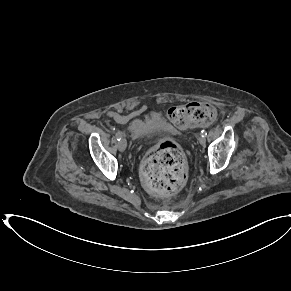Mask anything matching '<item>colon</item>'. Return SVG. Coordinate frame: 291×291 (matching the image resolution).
Here are the masks:
<instances>
[{
  "instance_id": "colon-1",
  "label": "colon",
  "mask_w": 291,
  "mask_h": 291,
  "mask_svg": "<svg viewBox=\"0 0 291 291\" xmlns=\"http://www.w3.org/2000/svg\"><path fill=\"white\" fill-rule=\"evenodd\" d=\"M215 109L209 103L191 102L172 106L168 119L179 128L207 125L215 119ZM186 160L180 148L171 141H162L141 166V178L146 190L152 194H169L184 184Z\"/></svg>"
}]
</instances>
